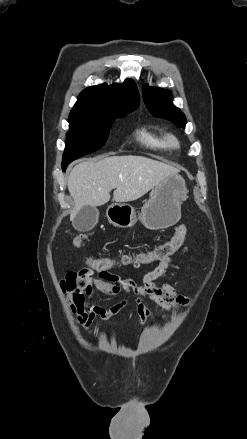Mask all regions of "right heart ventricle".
Masks as SVG:
<instances>
[{
    "label": "right heart ventricle",
    "instance_id": "e07e8e85",
    "mask_svg": "<svg viewBox=\"0 0 247 439\" xmlns=\"http://www.w3.org/2000/svg\"><path fill=\"white\" fill-rule=\"evenodd\" d=\"M136 140L143 146L153 150H167L166 135L160 131L143 124L140 125L135 132Z\"/></svg>",
    "mask_w": 247,
    "mask_h": 439
}]
</instances>
